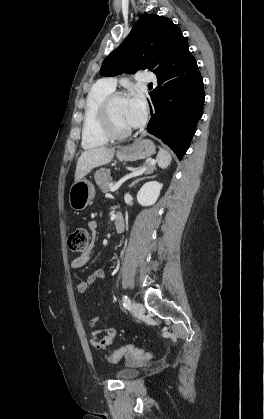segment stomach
I'll list each match as a JSON object with an SVG mask.
<instances>
[{
    "instance_id": "obj_1",
    "label": "stomach",
    "mask_w": 264,
    "mask_h": 419,
    "mask_svg": "<svg viewBox=\"0 0 264 419\" xmlns=\"http://www.w3.org/2000/svg\"><path fill=\"white\" fill-rule=\"evenodd\" d=\"M155 153V145L151 140L143 139L134 142L131 146L125 147L117 152L120 161H135L150 157ZM95 189L87 179L74 182L69 190L70 207L76 211L83 210L94 198Z\"/></svg>"
}]
</instances>
